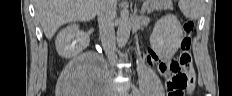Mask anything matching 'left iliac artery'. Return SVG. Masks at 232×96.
<instances>
[{
	"instance_id": "1",
	"label": "left iliac artery",
	"mask_w": 232,
	"mask_h": 96,
	"mask_svg": "<svg viewBox=\"0 0 232 96\" xmlns=\"http://www.w3.org/2000/svg\"><path fill=\"white\" fill-rule=\"evenodd\" d=\"M133 93H134V96H141L140 91L135 87H134Z\"/></svg>"
}]
</instances>
